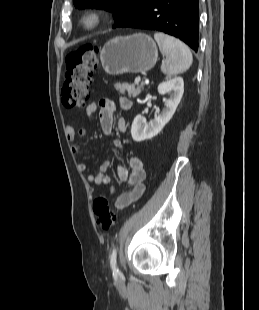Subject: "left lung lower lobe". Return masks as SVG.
Masks as SVG:
<instances>
[{"label": "left lung lower lobe", "instance_id": "obj_1", "mask_svg": "<svg viewBox=\"0 0 259 310\" xmlns=\"http://www.w3.org/2000/svg\"><path fill=\"white\" fill-rule=\"evenodd\" d=\"M199 0H152L117 27L157 30L198 50ZM116 28V27H114Z\"/></svg>", "mask_w": 259, "mask_h": 310}]
</instances>
